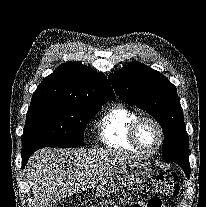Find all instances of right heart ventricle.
<instances>
[{"label":"right heart ventricle","mask_w":206,"mask_h":207,"mask_svg":"<svg viewBox=\"0 0 206 207\" xmlns=\"http://www.w3.org/2000/svg\"><path fill=\"white\" fill-rule=\"evenodd\" d=\"M138 116L136 111L124 105L110 108L98 123L102 143L113 150L136 152L129 139V128Z\"/></svg>","instance_id":"right-heart-ventricle-1"}]
</instances>
